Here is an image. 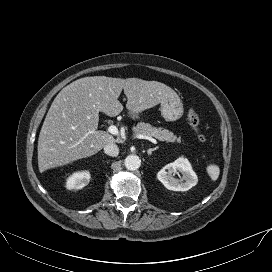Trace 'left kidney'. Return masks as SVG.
I'll use <instances>...</instances> for the list:
<instances>
[{
	"label": "left kidney",
	"instance_id": "5707ae66",
	"mask_svg": "<svg viewBox=\"0 0 272 272\" xmlns=\"http://www.w3.org/2000/svg\"><path fill=\"white\" fill-rule=\"evenodd\" d=\"M178 172L183 175L182 181L173 177ZM157 178L167 189L173 191H187L198 182L197 175L193 171L191 164L183 157L163 167L158 172Z\"/></svg>",
	"mask_w": 272,
	"mask_h": 272
}]
</instances>
